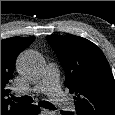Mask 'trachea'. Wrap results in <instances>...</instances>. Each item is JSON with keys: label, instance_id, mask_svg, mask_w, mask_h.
Returning <instances> with one entry per match:
<instances>
[{"label": "trachea", "instance_id": "3493384b", "mask_svg": "<svg viewBox=\"0 0 115 115\" xmlns=\"http://www.w3.org/2000/svg\"><path fill=\"white\" fill-rule=\"evenodd\" d=\"M12 98L14 101L24 104H30L33 102V99L30 96H22V97L13 96ZM38 105L49 110H56V107L48 101H40Z\"/></svg>", "mask_w": 115, "mask_h": 115}]
</instances>
